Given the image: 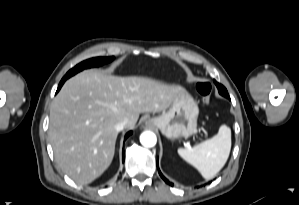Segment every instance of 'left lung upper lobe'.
<instances>
[{"instance_id": "obj_1", "label": "left lung upper lobe", "mask_w": 299, "mask_h": 205, "mask_svg": "<svg viewBox=\"0 0 299 205\" xmlns=\"http://www.w3.org/2000/svg\"><path fill=\"white\" fill-rule=\"evenodd\" d=\"M214 82H215V84H216V86L218 88V91H219V93L221 95H223V96H229L226 88L223 85L217 83L216 81H214Z\"/></svg>"}]
</instances>
